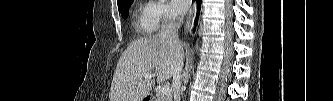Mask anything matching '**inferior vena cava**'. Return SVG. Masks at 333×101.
<instances>
[{"label": "inferior vena cava", "mask_w": 333, "mask_h": 101, "mask_svg": "<svg viewBox=\"0 0 333 101\" xmlns=\"http://www.w3.org/2000/svg\"><path fill=\"white\" fill-rule=\"evenodd\" d=\"M183 22V12H173L161 25L160 36L166 39L175 51L173 71L174 101H180L181 71L183 68L184 51L182 42L178 38V30Z\"/></svg>", "instance_id": "1"}]
</instances>
